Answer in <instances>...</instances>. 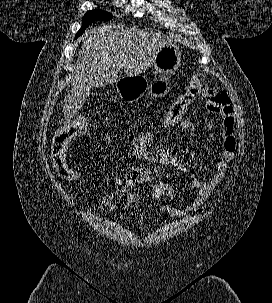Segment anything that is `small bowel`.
<instances>
[{"label": "small bowel", "mask_w": 272, "mask_h": 303, "mask_svg": "<svg viewBox=\"0 0 272 303\" xmlns=\"http://www.w3.org/2000/svg\"><path fill=\"white\" fill-rule=\"evenodd\" d=\"M205 99L207 110L222 119V139L223 151L221 158L216 163L215 173L209 180H204L192 173L190 169L179 161L172 153L163 147L134 149L132 154L137 159L148 163L159 165H172L182 173L193 178L197 195L184 209H178L168 204H162L161 210L172 216H184L198 210L208 199L211 193L224 181L227 174L228 164L234 158L236 150L235 137V117L231 106V99L225 92L219 91L212 86L204 85L199 92ZM192 129L188 128L185 132L189 133ZM152 179L151 172L144 167H133L127 171L122 179L116 178L115 184L120 191L128 188L137 187L147 183ZM153 199L160 201L167 196L170 199L177 197L174 186L170 183H162L160 188L153 192Z\"/></svg>", "instance_id": "small-bowel-1"}]
</instances>
